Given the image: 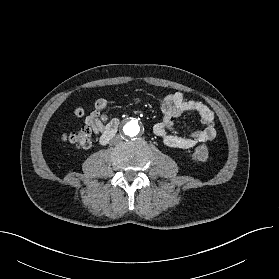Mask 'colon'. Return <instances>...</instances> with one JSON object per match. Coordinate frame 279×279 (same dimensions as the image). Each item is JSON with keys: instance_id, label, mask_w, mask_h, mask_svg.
<instances>
[{"instance_id": "1", "label": "colon", "mask_w": 279, "mask_h": 279, "mask_svg": "<svg viewBox=\"0 0 279 279\" xmlns=\"http://www.w3.org/2000/svg\"><path fill=\"white\" fill-rule=\"evenodd\" d=\"M83 109L78 108L75 111L77 116L83 115ZM63 140L79 149H85L90 147L91 145V129L88 127H84L78 131L66 133L63 136ZM193 160L197 162H205L209 158V148L206 144H202L197 146L192 152Z\"/></svg>"}]
</instances>
